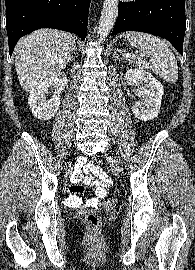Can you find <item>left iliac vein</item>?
<instances>
[{"label": "left iliac vein", "instance_id": "1", "mask_svg": "<svg viewBox=\"0 0 195 270\" xmlns=\"http://www.w3.org/2000/svg\"><path fill=\"white\" fill-rule=\"evenodd\" d=\"M112 167L116 170V171H120V167L118 166V163L115 159L108 157Z\"/></svg>", "mask_w": 195, "mask_h": 270}]
</instances>
